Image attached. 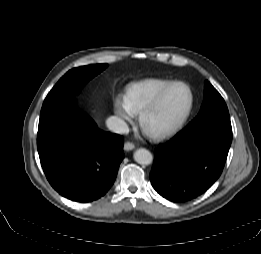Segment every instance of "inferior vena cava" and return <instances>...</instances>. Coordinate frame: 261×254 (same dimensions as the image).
Wrapping results in <instances>:
<instances>
[{
    "label": "inferior vena cava",
    "mask_w": 261,
    "mask_h": 254,
    "mask_svg": "<svg viewBox=\"0 0 261 254\" xmlns=\"http://www.w3.org/2000/svg\"><path fill=\"white\" fill-rule=\"evenodd\" d=\"M106 125L109 130L118 134H127L129 132L128 125L124 120L116 116H111L107 119Z\"/></svg>",
    "instance_id": "inferior-vena-cava-1"
}]
</instances>
